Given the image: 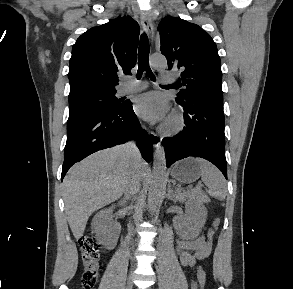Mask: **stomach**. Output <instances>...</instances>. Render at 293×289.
Listing matches in <instances>:
<instances>
[{
	"label": "stomach",
	"instance_id": "stomach-1",
	"mask_svg": "<svg viewBox=\"0 0 293 289\" xmlns=\"http://www.w3.org/2000/svg\"><path fill=\"white\" fill-rule=\"evenodd\" d=\"M171 176L181 183L189 184L201 176V169L195 158H186L173 166Z\"/></svg>",
	"mask_w": 293,
	"mask_h": 289
}]
</instances>
